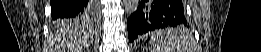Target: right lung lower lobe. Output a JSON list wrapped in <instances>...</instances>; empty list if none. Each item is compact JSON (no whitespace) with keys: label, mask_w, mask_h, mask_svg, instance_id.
Segmentation results:
<instances>
[{"label":"right lung lower lobe","mask_w":261,"mask_h":52,"mask_svg":"<svg viewBox=\"0 0 261 52\" xmlns=\"http://www.w3.org/2000/svg\"><path fill=\"white\" fill-rule=\"evenodd\" d=\"M52 19L75 18L80 15L96 16V1L88 0H51Z\"/></svg>","instance_id":"98d812e1"}]
</instances>
